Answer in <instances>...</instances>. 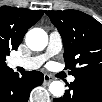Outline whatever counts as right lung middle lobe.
<instances>
[{
    "mask_svg": "<svg viewBox=\"0 0 102 102\" xmlns=\"http://www.w3.org/2000/svg\"><path fill=\"white\" fill-rule=\"evenodd\" d=\"M6 54H10V52H0V70H3L6 67L4 57Z\"/></svg>",
    "mask_w": 102,
    "mask_h": 102,
    "instance_id": "dd1d6c3e",
    "label": "right lung middle lobe"
}]
</instances>
